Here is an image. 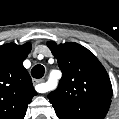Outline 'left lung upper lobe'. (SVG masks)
Wrapping results in <instances>:
<instances>
[{"mask_svg": "<svg viewBox=\"0 0 119 119\" xmlns=\"http://www.w3.org/2000/svg\"><path fill=\"white\" fill-rule=\"evenodd\" d=\"M47 46L62 71L59 86L48 98L59 119H104L109 110L112 85L99 60L74 42Z\"/></svg>", "mask_w": 119, "mask_h": 119, "instance_id": "5c2ea615", "label": "left lung upper lobe"}]
</instances>
